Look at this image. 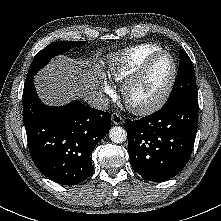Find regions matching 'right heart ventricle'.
Listing matches in <instances>:
<instances>
[{
  "label": "right heart ventricle",
  "instance_id": "right-heart-ventricle-1",
  "mask_svg": "<svg viewBox=\"0 0 221 221\" xmlns=\"http://www.w3.org/2000/svg\"><path fill=\"white\" fill-rule=\"evenodd\" d=\"M162 48L157 44H139L108 57V73L116 83H123L139 66Z\"/></svg>",
  "mask_w": 221,
  "mask_h": 221
}]
</instances>
